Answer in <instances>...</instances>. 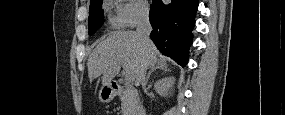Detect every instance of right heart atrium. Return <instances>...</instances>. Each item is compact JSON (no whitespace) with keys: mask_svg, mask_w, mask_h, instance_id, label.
<instances>
[{"mask_svg":"<svg viewBox=\"0 0 285 115\" xmlns=\"http://www.w3.org/2000/svg\"><path fill=\"white\" fill-rule=\"evenodd\" d=\"M148 5L143 0H119L116 2L115 24L118 27H135L148 18Z\"/></svg>","mask_w":285,"mask_h":115,"instance_id":"1","label":"right heart atrium"}]
</instances>
